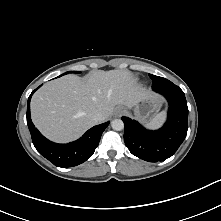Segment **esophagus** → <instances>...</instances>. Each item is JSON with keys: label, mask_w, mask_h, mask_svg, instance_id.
Masks as SVG:
<instances>
[{"label": "esophagus", "mask_w": 221, "mask_h": 221, "mask_svg": "<svg viewBox=\"0 0 221 221\" xmlns=\"http://www.w3.org/2000/svg\"><path fill=\"white\" fill-rule=\"evenodd\" d=\"M116 113H117V115H121L123 113V111L121 109H118Z\"/></svg>", "instance_id": "1"}]
</instances>
